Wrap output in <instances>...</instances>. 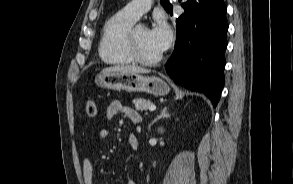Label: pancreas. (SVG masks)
Masks as SVG:
<instances>
[{"instance_id": "cf45deb5", "label": "pancreas", "mask_w": 293, "mask_h": 184, "mask_svg": "<svg viewBox=\"0 0 293 184\" xmlns=\"http://www.w3.org/2000/svg\"><path fill=\"white\" fill-rule=\"evenodd\" d=\"M134 107L137 111H147L149 106L152 105V102L142 98L133 100Z\"/></svg>"}]
</instances>
